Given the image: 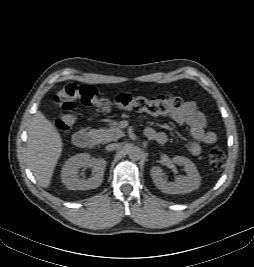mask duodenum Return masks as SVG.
Returning <instances> with one entry per match:
<instances>
[{
    "instance_id": "duodenum-1",
    "label": "duodenum",
    "mask_w": 254,
    "mask_h": 267,
    "mask_svg": "<svg viewBox=\"0 0 254 267\" xmlns=\"http://www.w3.org/2000/svg\"><path fill=\"white\" fill-rule=\"evenodd\" d=\"M74 144L79 148L92 149L96 146V139L90 133L79 131L73 136Z\"/></svg>"
}]
</instances>
